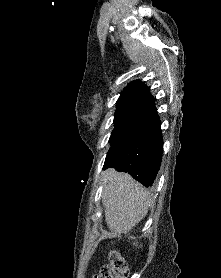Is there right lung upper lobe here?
Returning a JSON list of instances; mask_svg holds the SVG:
<instances>
[{
	"label": "right lung upper lobe",
	"mask_w": 221,
	"mask_h": 278,
	"mask_svg": "<svg viewBox=\"0 0 221 278\" xmlns=\"http://www.w3.org/2000/svg\"><path fill=\"white\" fill-rule=\"evenodd\" d=\"M148 87L139 80L127 85L117 101V109L130 105H148L152 99Z\"/></svg>",
	"instance_id": "cb5924a9"
}]
</instances>
